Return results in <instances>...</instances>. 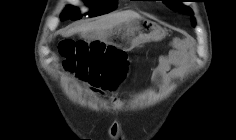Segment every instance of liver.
Here are the masks:
<instances>
[{
  "instance_id": "6515ba94",
  "label": "liver",
  "mask_w": 236,
  "mask_h": 140,
  "mask_svg": "<svg viewBox=\"0 0 236 140\" xmlns=\"http://www.w3.org/2000/svg\"><path fill=\"white\" fill-rule=\"evenodd\" d=\"M140 15L133 11L113 13L99 19L96 22L86 23L80 26L72 27L62 32V36L70 37L76 33H94L99 39H106L113 29L130 18H138Z\"/></svg>"
}]
</instances>
